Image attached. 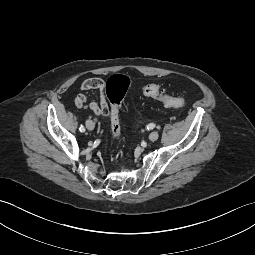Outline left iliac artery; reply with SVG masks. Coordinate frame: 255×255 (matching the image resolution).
I'll use <instances>...</instances> for the list:
<instances>
[{"instance_id": "obj_1", "label": "left iliac artery", "mask_w": 255, "mask_h": 255, "mask_svg": "<svg viewBox=\"0 0 255 255\" xmlns=\"http://www.w3.org/2000/svg\"><path fill=\"white\" fill-rule=\"evenodd\" d=\"M155 128V124H149L148 126H147V129L148 130H151V129H154Z\"/></svg>"}]
</instances>
